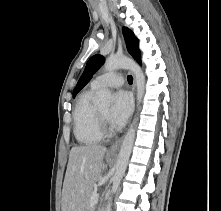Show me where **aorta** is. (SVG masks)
<instances>
[{"instance_id":"aorta-1","label":"aorta","mask_w":221,"mask_h":211,"mask_svg":"<svg viewBox=\"0 0 221 211\" xmlns=\"http://www.w3.org/2000/svg\"><path fill=\"white\" fill-rule=\"evenodd\" d=\"M104 68L106 71H114L117 69H128L130 70L136 80V86H137V101L138 104L141 103L145 91V77L141 70V68L131 59L127 57H109L106 59ZM114 101V95L111 93L109 89H102L98 96V105L100 107H108L110 106ZM136 122L137 118L135 117L131 126L129 127V130L127 131L124 140L122 142L118 159L115 165V173L112 177V192L115 193L120 185V182L123 178V175L125 173V170L127 168V164L129 161V157L132 151L133 143L135 140V134H136ZM111 205H112V196H110L105 211H111Z\"/></svg>"}]
</instances>
